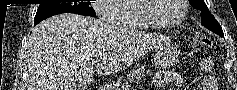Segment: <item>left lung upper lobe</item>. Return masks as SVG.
Instances as JSON below:
<instances>
[{
  "instance_id": "left-lung-upper-lobe-1",
  "label": "left lung upper lobe",
  "mask_w": 237,
  "mask_h": 90,
  "mask_svg": "<svg viewBox=\"0 0 237 90\" xmlns=\"http://www.w3.org/2000/svg\"><path fill=\"white\" fill-rule=\"evenodd\" d=\"M189 2L193 8L201 11V24L219 36L224 37L220 24L211 14L204 0H189Z\"/></svg>"
}]
</instances>
